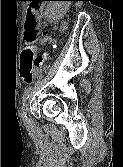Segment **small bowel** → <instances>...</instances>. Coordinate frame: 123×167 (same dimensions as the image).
I'll use <instances>...</instances> for the list:
<instances>
[{"label": "small bowel", "instance_id": "c3829d8e", "mask_svg": "<svg viewBox=\"0 0 123 167\" xmlns=\"http://www.w3.org/2000/svg\"><path fill=\"white\" fill-rule=\"evenodd\" d=\"M47 40H48V36H44L43 38H41L40 39V43L41 44H44L45 42H47ZM25 83H29V82H27V81H24ZM31 82V81H30Z\"/></svg>", "mask_w": 123, "mask_h": 167}]
</instances>
